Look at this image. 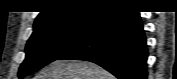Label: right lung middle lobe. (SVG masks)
Wrapping results in <instances>:
<instances>
[{
  "label": "right lung middle lobe",
  "instance_id": "dd1d6c3e",
  "mask_svg": "<svg viewBox=\"0 0 177 79\" xmlns=\"http://www.w3.org/2000/svg\"><path fill=\"white\" fill-rule=\"evenodd\" d=\"M103 14L55 21L35 28L26 45V58L18 76H24L58 60L79 44L97 25Z\"/></svg>",
  "mask_w": 177,
  "mask_h": 79
}]
</instances>
